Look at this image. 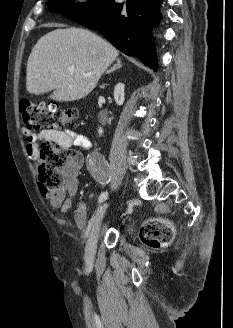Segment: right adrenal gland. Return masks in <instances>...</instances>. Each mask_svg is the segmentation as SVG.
Listing matches in <instances>:
<instances>
[{
	"mask_svg": "<svg viewBox=\"0 0 233 328\" xmlns=\"http://www.w3.org/2000/svg\"><path fill=\"white\" fill-rule=\"evenodd\" d=\"M121 67H122L121 60H120V58H118V59L116 60V64H114V66H113L110 70H107L105 73H106V74H109V73H111V72H113V71H115L116 69H119V68H121Z\"/></svg>",
	"mask_w": 233,
	"mask_h": 328,
	"instance_id": "obj_1",
	"label": "right adrenal gland"
}]
</instances>
